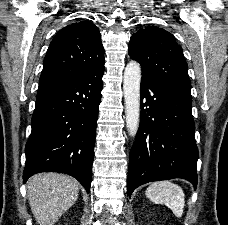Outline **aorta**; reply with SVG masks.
I'll return each instance as SVG.
<instances>
[{
  "instance_id": "762f6f07",
  "label": "aorta",
  "mask_w": 228,
  "mask_h": 225,
  "mask_svg": "<svg viewBox=\"0 0 228 225\" xmlns=\"http://www.w3.org/2000/svg\"><path fill=\"white\" fill-rule=\"evenodd\" d=\"M141 66L130 60L124 70L123 90L125 98L126 127L130 137H136L140 123Z\"/></svg>"
}]
</instances>
